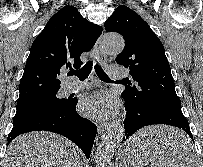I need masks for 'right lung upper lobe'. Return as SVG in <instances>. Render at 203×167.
I'll return each mask as SVG.
<instances>
[{
  "mask_svg": "<svg viewBox=\"0 0 203 167\" xmlns=\"http://www.w3.org/2000/svg\"><path fill=\"white\" fill-rule=\"evenodd\" d=\"M102 27L81 16L73 6L60 9L34 40L19 86L17 105L57 92L65 68H80V55L90 51Z\"/></svg>",
  "mask_w": 203,
  "mask_h": 167,
  "instance_id": "1",
  "label": "right lung upper lobe"
}]
</instances>
